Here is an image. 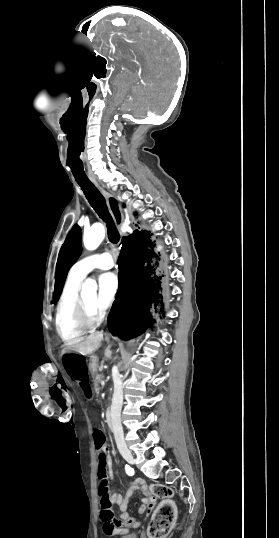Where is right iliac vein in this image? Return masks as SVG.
<instances>
[{"mask_svg":"<svg viewBox=\"0 0 279 538\" xmlns=\"http://www.w3.org/2000/svg\"><path fill=\"white\" fill-rule=\"evenodd\" d=\"M122 456L129 464H134L135 460L130 452H124Z\"/></svg>","mask_w":279,"mask_h":538,"instance_id":"63e3f726","label":"right iliac vein"}]
</instances>
